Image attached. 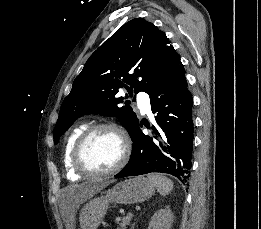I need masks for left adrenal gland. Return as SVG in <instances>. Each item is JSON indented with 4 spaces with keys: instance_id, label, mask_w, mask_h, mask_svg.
I'll list each match as a JSON object with an SVG mask.
<instances>
[{
    "instance_id": "a2214340",
    "label": "left adrenal gland",
    "mask_w": 261,
    "mask_h": 229,
    "mask_svg": "<svg viewBox=\"0 0 261 229\" xmlns=\"http://www.w3.org/2000/svg\"><path fill=\"white\" fill-rule=\"evenodd\" d=\"M134 227H135V223H133V225H132L131 229H134Z\"/></svg>"
}]
</instances>
